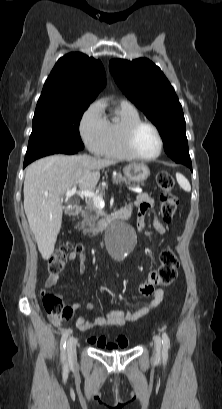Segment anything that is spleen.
<instances>
[{"mask_svg": "<svg viewBox=\"0 0 222 409\" xmlns=\"http://www.w3.org/2000/svg\"><path fill=\"white\" fill-rule=\"evenodd\" d=\"M176 179L183 190H185L186 192L191 191V185L189 181L181 173H176Z\"/></svg>", "mask_w": 222, "mask_h": 409, "instance_id": "3e777b00", "label": "spleen"}]
</instances>
